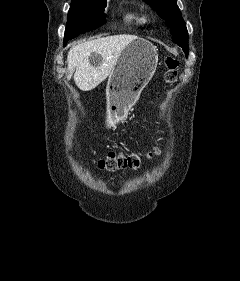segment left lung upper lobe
<instances>
[{
    "label": "left lung upper lobe",
    "instance_id": "obj_1",
    "mask_svg": "<svg viewBox=\"0 0 240 281\" xmlns=\"http://www.w3.org/2000/svg\"><path fill=\"white\" fill-rule=\"evenodd\" d=\"M165 20L173 34L172 40L188 55V32L176 0H144Z\"/></svg>",
    "mask_w": 240,
    "mask_h": 281
}]
</instances>
